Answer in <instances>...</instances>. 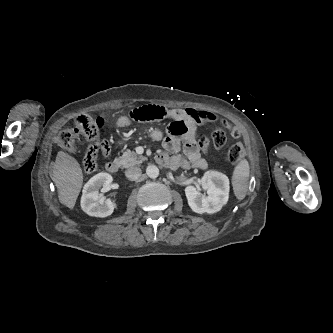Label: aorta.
I'll list each match as a JSON object with an SVG mask.
<instances>
[{"label":"aorta","instance_id":"1","mask_svg":"<svg viewBox=\"0 0 333 333\" xmlns=\"http://www.w3.org/2000/svg\"><path fill=\"white\" fill-rule=\"evenodd\" d=\"M146 174L148 175V177L155 179L159 176V169L155 165H149L146 168Z\"/></svg>","mask_w":333,"mask_h":333}]
</instances>
